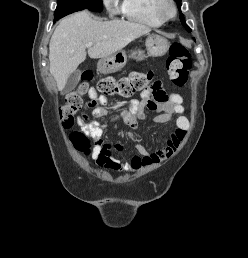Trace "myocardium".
<instances>
[{
    "instance_id": "obj_1",
    "label": "myocardium",
    "mask_w": 248,
    "mask_h": 258,
    "mask_svg": "<svg viewBox=\"0 0 248 258\" xmlns=\"http://www.w3.org/2000/svg\"><path fill=\"white\" fill-rule=\"evenodd\" d=\"M155 9L163 20L172 19L177 14V7L173 0H157Z\"/></svg>"
}]
</instances>
